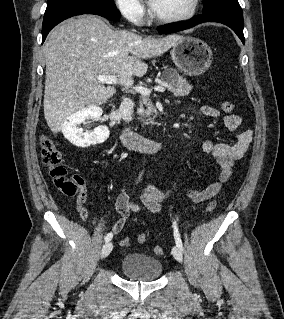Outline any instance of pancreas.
<instances>
[{
  "mask_svg": "<svg viewBox=\"0 0 284 319\" xmlns=\"http://www.w3.org/2000/svg\"><path fill=\"white\" fill-rule=\"evenodd\" d=\"M168 72H172L174 74V77L169 78L167 76ZM160 83L165 85L177 97L188 95L189 91L191 90V85H189L183 77L177 75L176 71L165 72L160 80ZM143 105L147 107V110L143 109ZM152 112H155V109L151 101L147 97H142L140 101V108L138 109V114L143 117H150V114ZM148 120L150 121L149 123H153L150 118ZM145 123L148 124V122Z\"/></svg>",
  "mask_w": 284,
  "mask_h": 319,
  "instance_id": "cf45deb5",
  "label": "pancreas"
}]
</instances>
